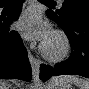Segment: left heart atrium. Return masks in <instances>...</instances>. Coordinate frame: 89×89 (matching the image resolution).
<instances>
[{"label":"left heart atrium","instance_id":"39dd6f15","mask_svg":"<svg viewBox=\"0 0 89 89\" xmlns=\"http://www.w3.org/2000/svg\"><path fill=\"white\" fill-rule=\"evenodd\" d=\"M17 29L27 38H36L46 41L51 36L50 27L43 22L36 8H28L19 17Z\"/></svg>","mask_w":89,"mask_h":89}]
</instances>
